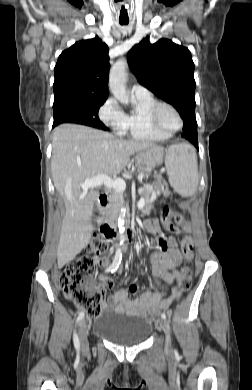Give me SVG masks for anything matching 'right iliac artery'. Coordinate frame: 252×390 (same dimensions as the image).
<instances>
[{"label": "right iliac artery", "instance_id": "obj_1", "mask_svg": "<svg viewBox=\"0 0 252 390\" xmlns=\"http://www.w3.org/2000/svg\"><path fill=\"white\" fill-rule=\"evenodd\" d=\"M121 259H122V252H121V248H118L117 251H116V254H115V258L113 260V263L110 265V267H108L106 269V272H114L120 265L121 263ZM84 318V313L83 312H80L78 317H77V320L76 322L78 323L80 320H82ZM73 342H74V346L77 350H79L80 348V342H79V338H78V335L77 333L74 331V335H73Z\"/></svg>", "mask_w": 252, "mask_h": 390}]
</instances>
